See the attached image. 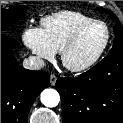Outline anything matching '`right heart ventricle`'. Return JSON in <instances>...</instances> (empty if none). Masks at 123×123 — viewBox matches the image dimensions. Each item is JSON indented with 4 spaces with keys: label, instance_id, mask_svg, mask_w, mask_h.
Instances as JSON below:
<instances>
[{
    "label": "right heart ventricle",
    "instance_id": "e07e8e85",
    "mask_svg": "<svg viewBox=\"0 0 123 123\" xmlns=\"http://www.w3.org/2000/svg\"><path fill=\"white\" fill-rule=\"evenodd\" d=\"M94 21L75 11H60L41 20L42 31L51 48L60 52L72 35L83 25Z\"/></svg>",
    "mask_w": 123,
    "mask_h": 123
}]
</instances>
